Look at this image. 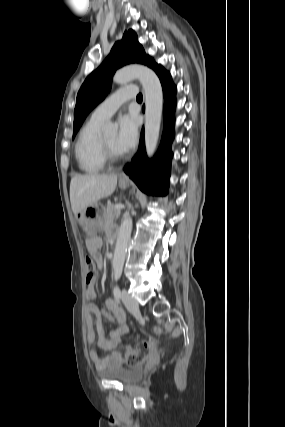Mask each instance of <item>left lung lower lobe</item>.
I'll return each instance as SVG.
<instances>
[{
	"label": "left lung lower lobe",
	"mask_w": 285,
	"mask_h": 427,
	"mask_svg": "<svg viewBox=\"0 0 285 427\" xmlns=\"http://www.w3.org/2000/svg\"><path fill=\"white\" fill-rule=\"evenodd\" d=\"M159 76L164 95V132L158 152L153 160H148L144 143V128L141 132L139 150L130 164L125 167V173L139 188L149 194L167 195L171 169V144L174 137V108L176 86L170 73L161 65L152 68Z\"/></svg>",
	"instance_id": "obj_1"
}]
</instances>
